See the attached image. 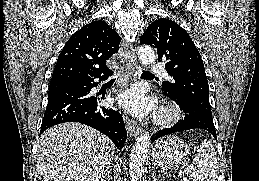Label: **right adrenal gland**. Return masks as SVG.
<instances>
[{
    "mask_svg": "<svg viewBox=\"0 0 259 181\" xmlns=\"http://www.w3.org/2000/svg\"><path fill=\"white\" fill-rule=\"evenodd\" d=\"M104 181H110V172H108L107 176L105 177Z\"/></svg>",
    "mask_w": 259,
    "mask_h": 181,
    "instance_id": "1",
    "label": "right adrenal gland"
}]
</instances>
